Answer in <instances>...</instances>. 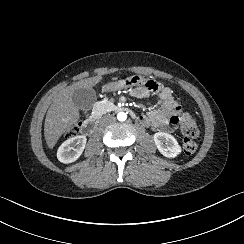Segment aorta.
Listing matches in <instances>:
<instances>
[{
    "label": "aorta",
    "mask_w": 244,
    "mask_h": 244,
    "mask_svg": "<svg viewBox=\"0 0 244 244\" xmlns=\"http://www.w3.org/2000/svg\"><path fill=\"white\" fill-rule=\"evenodd\" d=\"M117 119H118L119 121H125V120L127 119V114L124 113V112H119V113L117 114Z\"/></svg>",
    "instance_id": "obj_1"
}]
</instances>
